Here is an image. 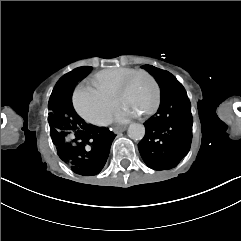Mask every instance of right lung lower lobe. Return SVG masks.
<instances>
[{"label":"right lung lower lobe","instance_id":"right-lung-lower-lobe-1","mask_svg":"<svg viewBox=\"0 0 241 241\" xmlns=\"http://www.w3.org/2000/svg\"><path fill=\"white\" fill-rule=\"evenodd\" d=\"M89 71L91 70L87 66L70 72L66 78V86L71 93L77 82ZM63 112L66 128L73 140L56 144L59 157L77 174H98L107 161L115 135L108 128L87 124L78 116L73 106L64 107Z\"/></svg>","mask_w":241,"mask_h":241}]
</instances>
